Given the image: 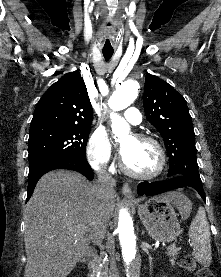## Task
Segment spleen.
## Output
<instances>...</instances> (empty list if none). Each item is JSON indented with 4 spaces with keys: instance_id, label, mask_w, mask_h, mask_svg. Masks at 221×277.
Returning <instances> with one entry per match:
<instances>
[{
    "instance_id": "spleen-1",
    "label": "spleen",
    "mask_w": 221,
    "mask_h": 277,
    "mask_svg": "<svg viewBox=\"0 0 221 277\" xmlns=\"http://www.w3.org/2000/svg\"><path fill=\"white\" fill-rule=\"evenodd\" d=\"M192 255L202 265L209 266L211 262V240L209 224L204 210L199 209L189 229Z\"/></svg>"
}]
</instances>
